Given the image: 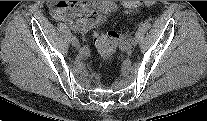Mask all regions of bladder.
I'll list each match as a JSON object with an SVG mask.
<instances>
[{
    "mask_svg": "<svg viewBox=\"0 0 207 121\" xmlns=\"http://www.w3.org/2000/svg\"><path fill=\"white\" fill-rule=\"evenodd\" d=\"M110 7H111V4L110 3H105L103 5V11L106 12Z\"/></svg>",
    "mask_w": 207,
    "mask_h": 121,
    "instance_id": "obj_1",
    "label": "bladder"
}]
</instances>
